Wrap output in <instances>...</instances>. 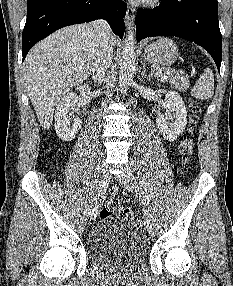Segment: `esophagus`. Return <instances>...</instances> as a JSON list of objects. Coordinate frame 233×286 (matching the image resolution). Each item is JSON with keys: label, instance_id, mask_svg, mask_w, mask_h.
Masks as SVG:
<instances>
[{"label": "esophagus", "instance_id": "esophagus-1", "mask_svg": "<svg viewBox=\"0 0 233 286\" xmlns=\"http://www.w3.org/2000/svg\"><path fill=\"white\" fill-rule=\"evenodd\" d=\"M135 13V8L127 5L125 23L128 30H132L134 28Z\"/></svg>", "mask_w": 233, "mask_h": 286}]
</instances>
